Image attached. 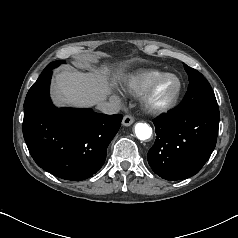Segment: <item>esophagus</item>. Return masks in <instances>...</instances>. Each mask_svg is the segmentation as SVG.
Returning <instances> with one entry per match:
<instances>
[{
	"label": "esophagus",
	"instance_id": "obj_1",
	"mask_svg": "<svg viewBox=\"0 0 238 238\" xmlns=\"http://www.w3.org/2000/svg\"><path fill=\"white\" fill-rule=\"evenodd\" d=\"M133 122H134V117L129 114L125 115L122 121L124 126H130L131 124H133Z\"/></svg>",
	"mask_w": 238,
	"mask_h": 238
}]
</instances>
